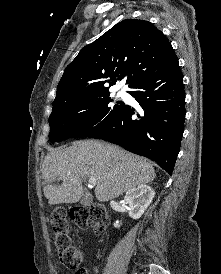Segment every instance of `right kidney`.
<instances>
[{"label":"right kidney","instance_id":"obj_1","mask_svg":"<svg viewBox=\"0 0 221 274\" xmlns=\"http://www.w3.org/2000/svg\"><path fill=\"white\" fill-rule=\"evenodd\" d=\"M154 195V190L145 184L128 190L124 197V202L129 216L133 219H139L151 204Z\"/></svg>","mask_w":221,"mask_h":274}]
</instances>
